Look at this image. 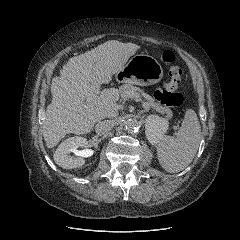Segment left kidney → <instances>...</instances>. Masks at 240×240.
Here are the masks:
<instances>
[{
    "label": "left kidney",
    "instance_id": "obj_1",
    "mask_svg": "<svg viewBox=\"0 0 240 240\" xmlns=\"http://www.w3.org/2000/svg\"><path fill=\"white\" fill-rule=\"evenodd\" d=\"M169 123L167 119L158 115H149L145 119V134L148 141L155 145L160 142L168 130Z\"/></svg>",
    "mask_w": 240,
    "mask_h": 240
}]
</instances>
